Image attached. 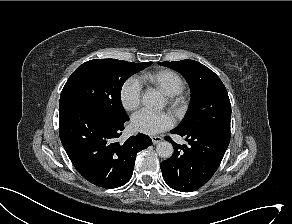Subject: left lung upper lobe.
<instances>
[{
  "instance_id": "obj_1",
  "label": "left lung upper lobe",
  "mask_w": 292,
  "mask_h": 224,
  "mask_svg": "<svg viewBox=\"0 0 292 224\" xmlns=\"http://www.w3.org/2000/svg\"><path fill=\"white\" fill-rule=\"evenodd\" d=\"M159 64L182 74L191 89L189 113L177 130L184 133L230 132V100L224 84L213 71L194 60Z\"/></svg>"
}]
</instances>
